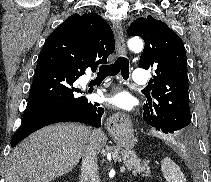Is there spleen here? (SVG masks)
Returning a JSON list of instances; mask_svg holds the SVG:
<instances>
[{"mask_svg": "<svg viewBox=\"0 0 211 182\" xmlns=\"http://www.w3.org/2000/svg\"><path fill=\"white\" fill-rule=\"evenodd\" d=\"M161 171L167 182H186L180 167L169 157L161 161Z\"/></svg>", "mask_w": 211, "mask_h": 182, "instance_id": "3e777b00", "label": "spleen"}]
</instances>
